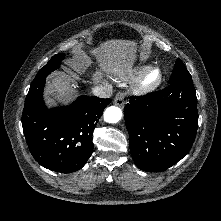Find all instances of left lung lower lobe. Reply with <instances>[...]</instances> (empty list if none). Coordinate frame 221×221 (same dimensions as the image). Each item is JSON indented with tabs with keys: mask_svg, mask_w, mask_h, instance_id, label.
<instances>
[{
	"mask_svg": "<svg viewBox=\"0 0 221 221\" xmlns=\"http://www.w3.org/2000/svg\"><path fill=\"white\" fill-rule=\"evenodd\" d=\"M129 146L136 166L166 170L190 151L198 128L192 78L177 79L161 91L131 97L124 108Z\"/></svg>",
	"mask_w": 221,
	"mask_h": 221,
	"instance_id": "1",
	"label": "left lung lower lobe"
}]
</instances>
